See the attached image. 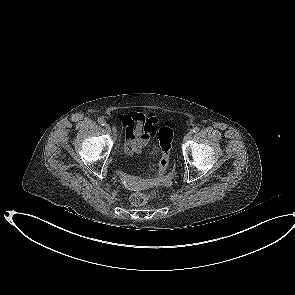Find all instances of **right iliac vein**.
<instances>
[{
	"label": "right iliac vein",
	"mask_w": 295,
	"mask_h": 295,
	"mask_svg": "<svg viewBox=\"0 0 295 295\" xmlns=\"http://www.w3.org/2000/svg\"><path fill=\"white\" fill-rule=\"evenodd\" d=\"M105 129L108 131V132H111V128H110V126H109V124H105Z\"/></svg>",
	"instance_id": "63e3f726"
}]
</instances>
